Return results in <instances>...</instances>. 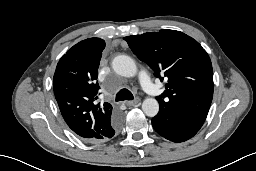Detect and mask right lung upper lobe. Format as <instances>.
Returning <instances> with one entry per match:
<instances>
[{
  "label": "right lung upper lobe",
  "instance_id": "cb5924a9",
  "mask_svg": "<svg viewBox=\"0 0 256 171\" xmlns=\"http://www.w3.org/2000/svg\"><path fill=\"white\" fill-rule=\"evenodd\" d=\"M105 48L100 38H88L71 47L59 60L53 88L61 114L77 135L89 142L111 136V121L117 115L111 104L97 103L98 67Z\"/></svg>",
  "mask_w": 256,
  "mask_h": 171
}]
</instances>
